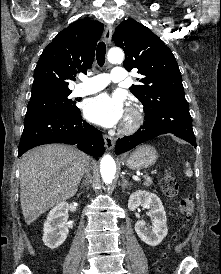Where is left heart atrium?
<instances>
[{
	"label": "left heart atrium",
	"mask_w": 221,
	"mask_h": 274,
	"mask_svg": "<svg viewBox=\"0 0 221 274\" xmlns=\"http://www.w3.org/2000/svg\"><path fill=\"white\" fill-rule=\"evenodd\" d=\"M83 113L90 122L110 128L123 118L124 101L118 94L101 93L85 101Z\"/></svg>",
	"instance_id": "obj_1"
}]
</instances>
